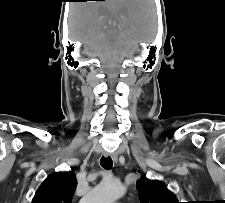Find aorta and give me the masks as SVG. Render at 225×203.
<instances>
[{
    "mask_svg": "<svg viewBox=\"0 0 225 203\" xmlns=\"http://www.w3.org/2000/svg\"><path fill=\"white\" fill-rule=\"evenodd\" d=\"M125 193L124 186L116 180L102 181L89 191L80 203H113Z\"/></svg>",
    "mask_w": 225,
    "mask_h": 203,
    "instance_id": "aorta-1",
    "label": "aorta"
}]
</instances>
